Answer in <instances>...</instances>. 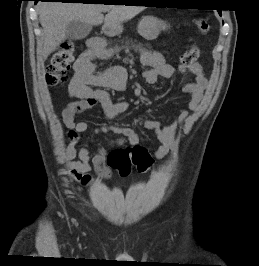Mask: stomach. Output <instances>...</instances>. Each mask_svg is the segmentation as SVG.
Wrapping results in <instances>:
<instances>
[{"label": "stomach", "instance_id": "obj_1", "mask_svg": "<svg viewBox=\"0 0 259 266\" xmlns=\"http://www.w3.org/2000/svg\"><path fill=\"white\" fill-rule=\"evenodd\" d=\"M165 29H167V25L163 21L152 16L144 17L138 25L139 34L147 40L156 39L160 32ZM106 32L109 35L120 34L122 32V26L120 24L115 27H109Z\"/></svg>", "mask_w": 259, "mask_h": 266}]
</instances>
